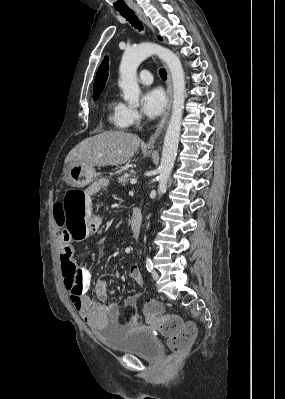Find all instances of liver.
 Masks as SVG:
<instances>
[{
	"instance_id": "1",
	"label": "liver",
	"mask_w": 285,
	"mask_h": 399,
	"mask_svg": "<svg viewBox=\"0 0 285 399\" xmlns=\"http://www.w3.org/2000/svg\"><path fill=\"white\" fill-rule=\"evenodd\" d=\"M137 135L125 131H104L76 145L65 158V166H115L130 161L140 146Z\"/></svg>"
}]
</instances>
